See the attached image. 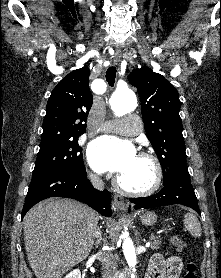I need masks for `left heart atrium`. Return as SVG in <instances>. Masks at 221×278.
I'll list each match as a JSON object with an SVG mask.
<instances>
[{
    "label": "left heart atrium",
    "mask_w": 221,
    "mask_h": 278,
    "mask_svg": "<svg viewBox=\"0 0 221 278\" xmlns=\"http://www.w3.org/2000/svg\"><path fill=\"white\" fill-rule=\"evenodd\" d=\"M136 156L135 148L130 142L111 136L95 139L87 150L89 164L98 173L120 175Z\"/></svg>",
    "instance_id": "obj_1"
}]
</instances>
